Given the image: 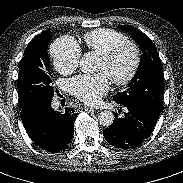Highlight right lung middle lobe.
<instances>
[{"mask_svg": "<svg viewBox=\"0 0 183 183\" xmlns=\"http://www.w3.org/2000/svg\"><path fill=\"white\" fill-rule=\"evenodd\" d=\"M31 40L20 62L17 80L19 107L32 99L54 96L47 52L50 31H44Z\"/></svg>", "mask_w": 183, "mask_h": 183, "instance_id": "dd1d6c3e", "label": "right lung middle lobe"}]
</instances>
